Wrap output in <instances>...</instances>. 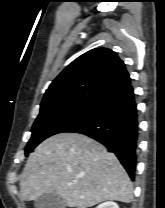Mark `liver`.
<instances>
[{
    "label": "liver",
    "mask_w": 165,
    "mask_h": 208,
    "mask_svg": "<svg viewBox=\"0 0 165 208\" xmlns=\"http://www.w3.org/2000/svg\"><path fill=\"white\" fill-rule=\"evenodd\" d=\"M55 192L71 208H88L115 200L130 203L133 186L117 157L94 139L59 133L30 154L21 181L25 201Z\"/></svg>",
    "instance_id": "1"
}]
</instances>
